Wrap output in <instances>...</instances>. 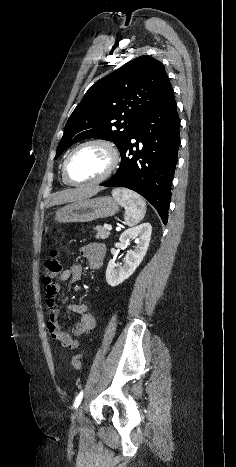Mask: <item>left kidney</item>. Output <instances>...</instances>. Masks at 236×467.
Returning a JSON list of instances; mask_svg holds the SVG:
<instances>
[{
  "mask_svg": "<svg viewBox=\"0 0 236 467\" xmlns=\"http://www.w3.org/2000/svg\"><path fill=\"white\" fill-rule=\"evenodd\" d=\"M151 233V224L143 223L121 234L119 238L121 244L129 245L131 239H137V246L134 250L127 252L123 265L114 260L109 261L106 269V281L110 286L115 287L121 284L135 272L147 252Z\"/></svg>",
  "mask_w": 236,
  "mask_h": 467,
  "instance_id": "1",
  "label": "left kidney"
}]
</instances>
